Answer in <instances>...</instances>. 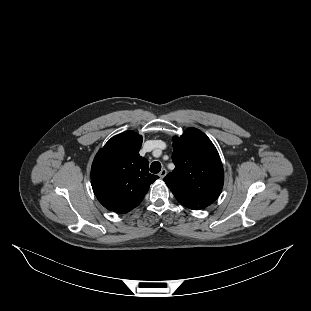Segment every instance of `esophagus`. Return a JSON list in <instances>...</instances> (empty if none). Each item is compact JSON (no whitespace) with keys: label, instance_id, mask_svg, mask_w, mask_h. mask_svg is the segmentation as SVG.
Instances as JSON below:
<instances>
[{"label":"esophagus","instance_id":"34e87169","mask_svg":"<svg viewBox=\"0 0 311 311\" xmlns=\"http://www.w3.org/2000/svg\"><path fill=\"white\" fill-rule=\"evenodd\" d=\"M167 175V170L166 169H162L159 173V177L161 179H163L165 176Z\"/></svg>","mask_w":311,"mask_h":311}]
</instances>
